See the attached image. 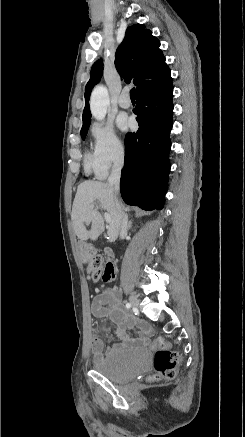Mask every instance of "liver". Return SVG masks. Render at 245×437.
Instances as JSON below:
<instances>
[{"instance_id":"obj_1","label":"liver","mask_w":245,"mask_h":437,"mask_svg":"<svg viewBox=\"0 0 245 437\" xmlns=\"http://www.w3.org/2000/svg\"><path fill=\"white\" fill-rule=\"evenodd\" d=\"M96 201L110 215L108 236L113 242L120 231L121 216L125 215L124 212L129 208L118 202L120 212L118 211L112 187L104 182L85 181L78 186L71 213L75 234L81 241H95L104 232V219L94 206ZM90 224L91 229L87 230L86 226Z\"/></svg>"}]
</instances>
